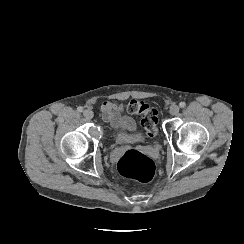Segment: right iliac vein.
Segmentation results:
<instances>
[{"instance_id": "63e3f726", "label": "right iliac vein", "mask_w": 244, "mask_h": 244, "mask_svg": "<svg viewBox=\"0 0 244 244\" xmlns=\"http://www.w3.org/2000/svg\"><path fill=\"white\" fill-rule=\"evenodd\" d=\"M83 115H84V117H86L87 119H92L93 116H94V113H93L92 110H90V109H86V110L83 111Z\"/></svg>"}]
</instances>
